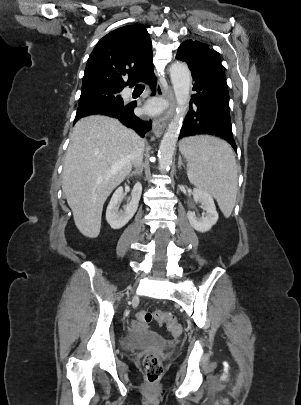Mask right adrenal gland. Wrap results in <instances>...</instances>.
Listing matches in <instances>:
<instances>
[{"instance_id":"2a0ac1e0","label":"right adrenal gland","mask_w":301,"mask_h":405,"mask_svg":"<svg viewBox=\"0 0 301 405\" xmlns=\"http://www.w3.org/2000/svg\"><path fill=\"white\" fill-rule=\"evenodd\" d=\"M142 172H143V167L141 166L139 169L133 171L128 176L131 177V176L142 175Z\"/></svg>"}]
</instances>
